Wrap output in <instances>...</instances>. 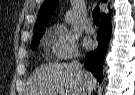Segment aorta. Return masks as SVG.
Returning a JSON list of instances; mask_svg holds the SVG:
<instances>
[{
	"label": "aorta",
	"instance_id": "aorta-1",
	"mask_svg": "<svg viewBox=\"0 0 135 95\" xmlns=\"http://www.w3.org/2000/svg\"><path fill=\"white\" fill-rule=\"evenodd\" d=\"M70 21H71V16H70V14H69V15H67V16L65 17V22H66V23H70Z\"/></svg>",
	"mask_w": 135,
	"mask_h": 95
}]
</instances>
